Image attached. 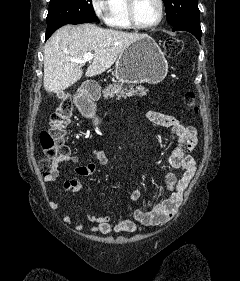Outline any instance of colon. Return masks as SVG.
<instances>
[{"label": "colon", "instance_id": "1", "mask_svg": "<svg viewBox=\"0 0 240 281\" xmlns=\"http://www.w3.org/2000/svg\"><path fill=\"white\" fill-rule=\"evenodd\" d=\"M182 42L178 38H168L164 44V50L169 58H175L182 52ZM185 105L198 113L196 99L193 92H187L184 97ZM73 113V105L69 99L62 100L52 113L50 129L40 133V144L46 159L41 162L43 174L52 171V161L57 157H70L74 160L71 148L67 144L66 127Z\"/></svg>", "mask_w": 240, "mask_h": 281}]
</instances>
